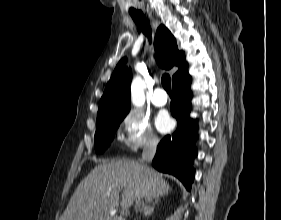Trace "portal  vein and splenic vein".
<instances>
[{"label":"portal vein and splenic vein","instance_id":"18ae733b","mask_svg":"<svg viewBox=\"0 0 281 220\" xmlns=\"http://www.w3.org/2000/svg\"><path fill=\"white\" fill-rule=\"evenodd\" d=\"M132 204L131 200H122L121 206L126 209L127 207H129Z\"/></svg>","mask_w":281,"mask_h":220}]
</instances>
